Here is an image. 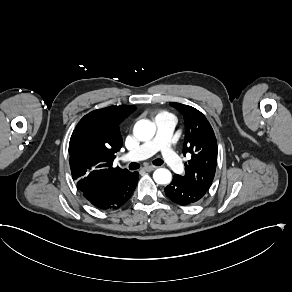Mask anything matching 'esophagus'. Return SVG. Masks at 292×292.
I'll return each mask as SVG.
<instances>
[{"label":"esophagus","instance_id":"obj_1","mask_svg":"<svg viewBox=\"0 0 292 292\" xmlns=\"http://www.w3.org/2000/svg\"><path fill=\"white\" fill-rule=\"evenodd\" d=\"M157 167L156 166H153V165H146L143 167V169L146 171V172H151L153 170H155Z\"/></svg>","mask_w":292,"mask_h":292}]
</instances>
